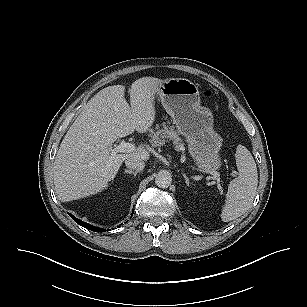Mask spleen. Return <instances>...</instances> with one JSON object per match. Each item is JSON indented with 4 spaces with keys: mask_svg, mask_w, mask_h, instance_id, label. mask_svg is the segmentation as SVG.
<instances>
[{
    "mask_svg": "<svg viewBox=\"0 0 307 307\" xmlns=\"http://www.w3.org/2000/svg\"><path fill=\"white\" fill-rule=\"evenodd\" d=\"M235 157L239 174L228 187L221 213L224 222L240 217L251 207L258 185L257 167L250 151L238 145Z\"/></svg>",
    "mask_w": 307,
    "mask_h": 307,
    "instance_id": "1",
    "label": "spleen"
}]
</instances>
